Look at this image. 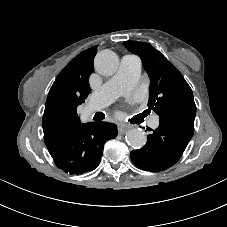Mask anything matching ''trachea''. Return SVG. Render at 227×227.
Returning a JSON list of instances; mask_svg holds the SVG:
<instances>
[{"mask_svg":"<svg viewBox=\"0 0 227 227\" xmlns=\"http://www.w3.org/2000/svg\"><path fill=\"white\" fill-rule=\"evenodd\" d=\"M96 115H97V118H101V119L104 118V114L103 113H97Z\"/></svg>","mask_w":227,"mask_h":227,"instance_id":"obj_1","label":"trachea"}]
</instances>
